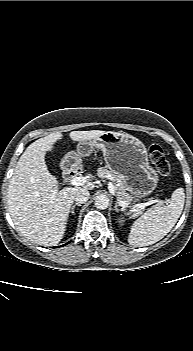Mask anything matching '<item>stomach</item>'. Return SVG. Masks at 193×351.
I'll return each instance as SVG.
<instances>
[{"instance_id": "0dacf381", "label": "stomach", "mask_w": 193, "mask_h": 351, "mask_svg": "<svg viewBox=\"0 0 193 351\" xmlns=\"http://www.w3.org/2000/svg\"><path fill=\"white\" fill-rule=\"evenodd\" d=\"M103 152L106 167L123 176L126 187L136 199L150 195L157 187L159 175L150 165L144 143L125 132H105L93 141L79 142L76 152L68 153L63 163H78L93 147Z\"/></svg>"}]
</instances>
